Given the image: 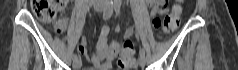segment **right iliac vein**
Here are the masks:
<instances>
[{
	"mask_svg": "<svg viewBox=\"0 0 238 70\" xmlns=\"http://www.w3.org/2000/svg\"><path fill=\"white\" fill-rule=\"evenodd\" d=\"M94 9L96 10V11H102L103 10V6L102 5H95L94 6ZM81 66H82V62H81V59H74L73 60V68L74 69H76V70H78V69H80L81 68Z\"/></svg>",
	"mask_w": 238,
	"mask_h": 70,
	"instance_id": "63e3f726",
	"label": "right iliac vein"
}]
</instances>
